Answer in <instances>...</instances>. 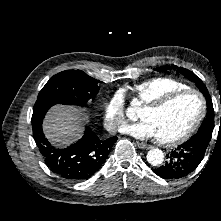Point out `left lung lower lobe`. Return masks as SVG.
<instances>
[{"mask_svg":"<svg viewBox=\"0 0 221 221\" xmlns=\"http://www.w3.org/2000/svg\"><path fill=\"white\" fill-rule=\"evenodd\" d=\"M209 142V136L195 134L170 151L166 163L153 169V172L164 179H179L189 175L202 161Z\"/></svg>","mask_w":221,"mask_h":221,"instance_id":"obj_1","label":"left lung lower lobe"}]
</instances>
